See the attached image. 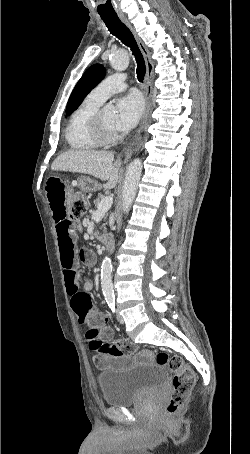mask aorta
<instances>
[{"label":"aorta","mask_w":250,"mask_h":454,"mask_svg":"<svg viewBox=\"0 0 250 454\" xmlns=\"http://www.w3.org/2000/svg\"><path fill=\"white\" fill-rule=\"evenodd\" d=\"M112 68L116 71H124L129 65V54L125 49H118L112 54L110 59ZM111 108V106H108ZM142 173L141 159H134L128 165L125 180L122 188V209L124 213H128L135 199L138 183ZM112 261L109 256H106L101 266V287L106 300L114 299V289L112 284Z\"/></svg>","instance_id":"obj_1"}]
</instances>
